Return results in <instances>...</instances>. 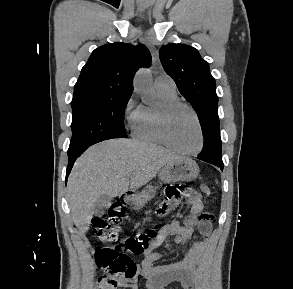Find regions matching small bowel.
Returning a JSON list of instances; mask_svg holds the SVG:
<instances>
[{"label":"small bowel","instance_id":"c3829d8e","mask_svg":"<svg viewBox=\"0 0 293 289\" xmlns=\"http://www.w3.org/2000/svg\"><path fill=\"white\" fill-rule=\"evenodd\" d=\"M187 199L191 205V215L186 223L182 225L178 220H173L166 224L154 244L156 247L164 243V250H150L140 264L139 274L145 279L146 289H165L174 283H179L183 289H194L197 267L206 250L204 240H194V231L198 226L201 235L206 238L211 233L212 223L211 215L203 213L204 203L199 193L190 192ZM190 241L192 242L181 261L166 265L155 264L166 256L171 243L185 244ZM122 285L127 283L123 282ZM129 286L138 289L136 281H132Z\"/></svg>","mask_w":293,"mask_h":289}]
</instances>
